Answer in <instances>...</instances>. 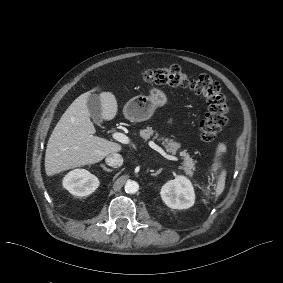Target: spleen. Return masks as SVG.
<instances>
[{
  "mask_svg": "<svg viewBox=\"0 0 283 283\" xmlns=\"http://www.w3.org/2000/svg\"><path fill=\"white\" fill-rule=\"evenodd\" d=\"M224 152H226V146L223 143H220L216 150V158H215V162L212 167L213 171H217V169L220 167L218 157L221 155V153H224ZM225 179H226V171L223 170L218 177V182L216 186V196L220 195L223 192L224 187H225Z\"/></svg>",
  "mask_w": 283,
  "mask_h": 283,
  "instance_id": "3e777b00",
  "label": "spleen"
}]
</instances>
